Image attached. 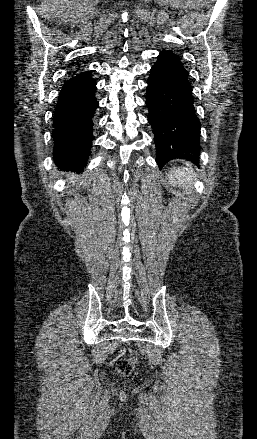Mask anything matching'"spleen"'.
Wrapping results in <instances>:
<instances>
[{
	"label": "spleen",
	"instance_id": "obj_1",
	"mask_svg": "<svg viewBox=\"0 0 257 439\" xmlns=\"http://www.w3.org/2000/svg\"><path fill=\"white\" fill-rule=\"evenodd\" d=\"M169 182L181 188H192L195 179V173L191 168L181 167L170 171L167 175Z\"/></svg>",
	"mask_w": 257,
	"mask_h": 439
}]
</instances>
